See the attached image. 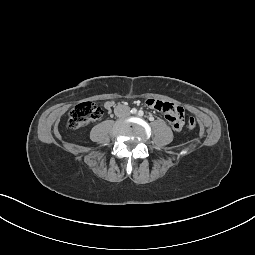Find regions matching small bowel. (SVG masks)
I'll return each instance as SVG.
<instances>
[{
    "label": "small bowel",
    "instance_id": "1",
    "mask_svg": "<svg viewBox=\"0 0 255 255\" xmlns=\"http://www.w3.org/2000/svg\"><path fill=\"white\" fill-rule=\"evenodd\" d=\"M146 104L159 112H162L167 120L170 122V128L175 132L177 135H182L185 132V111L170 102L158 100V99H147ZM104 108L108 111L112 109L114 106L113 101H106L103 104Z\"/></svg>",
    "mask_w": 255,
    "mask_h": 255
}]
</instances>
